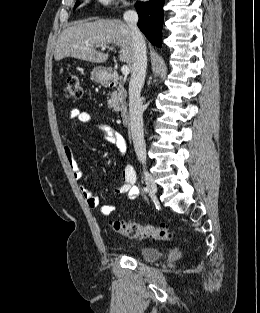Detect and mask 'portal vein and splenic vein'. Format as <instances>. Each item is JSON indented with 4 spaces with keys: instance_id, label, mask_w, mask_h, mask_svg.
Instances as JSON below:
<instances>
[{
    "instance_id": "obj_1",
    "label": "portal vein and splenic vein",
    "mask_w": 260,
    "mask_h": 313,
    "mask_svg": "<svg viewBox=\"0 0 260 313\" xmlns=\"http://www.w3.org/2000/svg\"><path fill=\"white\" fill-rule=\"evenodd\" d=\"M101 49L104 51L107 49V46H102ZM121 72L123 75H128L129 72H130V69L128 67V65H123L122 68H121Z\"/></svg>"
}]
</instances>
